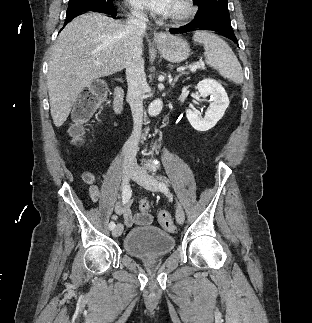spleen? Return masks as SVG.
<instances>
[{
	"label": "spleen",
	"mask_w": 312,
	"mask_h": 323,
	"mask_svg": "<svg viewBox=\"0 0 312 323\" xmlns=\"http://www.w3.org/2000/svg\"><path fill=\"white\" fill-rule=\"evenodd\" d=\"M193 40L197 44H203L204 56L211 68L218 70L223 78H228L235 84H242V68L227 42L209 30H196Z\"/></svg>",
	"instance_id": "spleen-1"
}]
</instances>
